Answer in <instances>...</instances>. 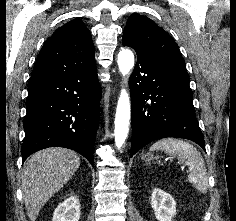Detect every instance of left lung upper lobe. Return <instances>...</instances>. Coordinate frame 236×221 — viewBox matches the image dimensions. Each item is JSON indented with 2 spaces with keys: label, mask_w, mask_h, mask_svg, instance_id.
Segmentation results:
<instances>
[{
  "label": "left lung upper lobe",
  "mask_w": 236,
  "mask_h": 221,
  "mask_svg": "<svg viewBox=\"0 0 236 221\" xmlns=\"http://www.w3.org/2000/svg\"><path fill=\"white\" fill-rule=\"evenodd\" d=\"M122 42L127 43L136 52L186 71L185 61L177 43L163 28L146 16L134 13L129 17Z\"/></svg>",
  "instance_id": "1"
}]
</instances>
